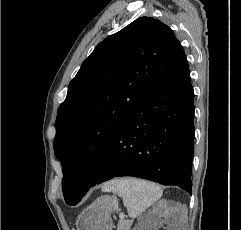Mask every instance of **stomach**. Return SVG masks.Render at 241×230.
<instances>
[{"mask_svg": "<svg viewBox=\"0 0 241 230\" xmlns=\"http://www.w3.org/2000/svg\"><path fill=\"white\" fill-rule=\"evenodd\" d=\"M119 211L118 199L101 196L84 209L76 220L77 230H112L111 215Z\"/></svg>", "mask_w": 241, "mask_h": 230, "instance_id": "obj_1", "label": "stomach"}]
</instances>
